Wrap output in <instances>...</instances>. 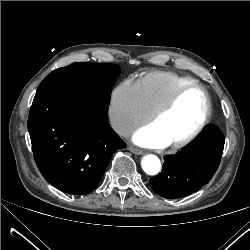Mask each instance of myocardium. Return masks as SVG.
Segmentation results:
<instances>
[{"instance_id":"myocardium-1","label":"myocardium","mask_w":250,"mask_h":250,"mask_svg":"<svg viewBox=\"0 0 250 250\" xmlns=\"http://www.w3.org/2000/svg\"><path fill=\"white\" fill-rule=\"evenodd\" d=\"M191 89H199L203 93L204 98H205V103H206L205 113L200 123L191 133H189L187 136L179 140H176L170 143V146H172L173 148H181V147L188 145L193 140H195L207 126L211 117L212 102H211V97L208 91L206 90V88L203 85L196 83V82H192V83H188V84H184L180 86L178 89L174 91V93L170 96V98L151 116V119H150V122L152 124L156 123L163 116H165L169 111L172 110V108L178 102L180 97L186 91L191 90Z\"/></svg>"}]
</instances>
